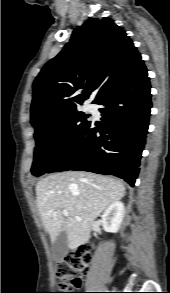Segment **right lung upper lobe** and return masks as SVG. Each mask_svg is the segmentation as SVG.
<instances>
[{
    "label": "right lung upper lobe",
    "mask_w": 170,
    "mask_h": 293,
    "mask_svg": "<svg viewBox=\"0 0 170 293\" xmlns=\"http://www.w3.org/2000/svg\"><path fill=\"white\" fill-rule=\"evenodd\" d=\"M133 42L110 18L88 19L33 84L31 123L38 128L144 69ZM78 89H84L78 93Z\"/></svg>",
    "instance_id": "1"
}]
</instances>
